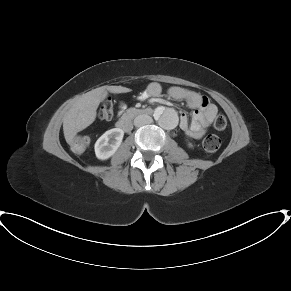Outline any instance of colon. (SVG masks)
Here are the masks:
<instances>
[{
  "instance_id": "1",
  "label": "colon",
  "mask_w": 291,
  "mask_h": 291,
  "mask_svg": "<svg viewBox=\"0 0 291 291\" xmlns=\"http://www.w3.org/2000/svg\"><path fill=\"white\" fill-rule=\"evenodd\" d=\"M113 115V103L110 98H107L101 104L98 117L100 120L107 121L110 120ZM227 126V119L223 114H217L214 120V127L217 130H223ZM221 140L218 136L209 134L203 140V147L207 152H215L219 149ZM86 148L84 142L79 141L75 144V149L78 152H83Z\"/></svg>"
}]
</instances>
